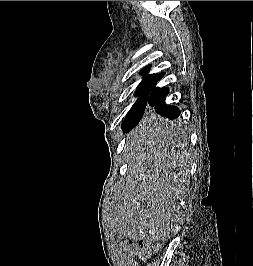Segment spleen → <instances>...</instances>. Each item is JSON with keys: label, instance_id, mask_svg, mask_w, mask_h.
<instances>
[{"label": "spleen", "instance_id": "3e777b00", "mask_svg": "<svg viewBox=\"0 0 253 266\" xmlns=\"http://www.w3.org/2000/svg\"><path fill=\"white\" fill-rule=\"evenodd\" d=\"M167 120V115H157ZM141 135H122V156H129L127 190L124 207H113V216H124L119 227L126 242H146L147 248H160L169 235H180V208L175 199H183L187 141H173L171 135L155 132H178V123H150Z\"/></svg>", "mask_w": 253, "mask_h": 266}]
</instances>
